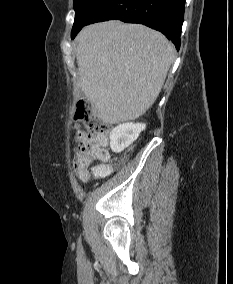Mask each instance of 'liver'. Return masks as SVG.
Returning <instances> with one entry per match:
<instances>
[{
  "label": "liver",
  "mask_w": 233,
  "mask_h": 284,
  "mask_svg": "<svg viewBox=\"0 0 233 284\" xmlns=\"http://www.w3.org/2000/svg\"><path fill=\"white\" fill-rule=\"evenodd\" d=\"M174 57V45L141 24L107 21L76 37L79 87L110 124L137 119L153 105Z\"/></svg>",
  "instance_id": "obj_1"
}]
</instances>
